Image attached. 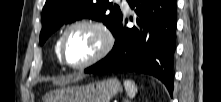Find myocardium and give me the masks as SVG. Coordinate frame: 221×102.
Wrapping results in <instances>:
<instances>
[{
	"instance_id": "myocardium-1",
	"label": "myocardium",
	"mask_w": 221,
	"mask_h": 102,
	"mask_svg": "<svg viewBox=\"0 0 221 102\" xmlns=\"http://www.w3.org/2000/svg\"><path fill=\"white\" fill-rule=\"evenodd\" d=\"M78 27H86L93 31H95L100 39V45L96 53L89 58L87 61L81 63V64H71L66 60L65 53H64V47H65V41L68 36V34L75 28ZM114 45V35L111 31V29L102 21L91 19V18H82L78 19L72 23H70L65 30L63 31L60 42H59V59L60 62L72 69L81 70L86 69L100 60H102L112 49Z\"/></svg>"
}]
</instances>
